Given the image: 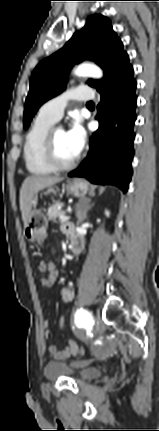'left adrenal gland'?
Listing matches in <instances>:
<instances>
[{
    "mask_svg": "<svg viewBox=\"0 0 159 431\" xmlns=\"http://www.w3.org/2000/svg\"><path fill=\"white\" fill-rule=\"evenodd\" d=\"M93 206L94 204H91L90 199L86 201L79 200L78 204L76 205V216L78 218V225L81 224L87 218V213Z\"/></svg>",
    "mask_w": 159,
    "mask_h": 431,
    "instance_id": "obj_1",
    "label": "left adrenal gland"
}]
</instances>
